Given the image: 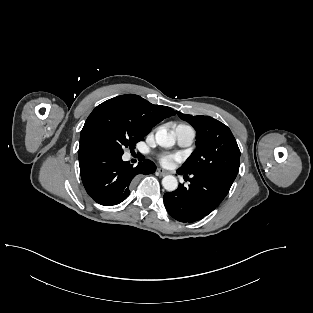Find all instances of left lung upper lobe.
Returning a JSON list of instances; mask_svg holds the SVG:
<instances>
[{
  "mask_svg": "<svg viewBox=\"0 0 313 313\" xmlns=\"http://www.w3.org/2000/svg\"><path fill=\"white\" fill-rule=\"evenodd\" d=\"M177 114L195 128L197 147L180 169L189 175H217L234 181L240 150L230 129L209 116Z\"/></svg>",
  "mask_w": 313,
  "mask_h": 313,
  "instance_id": "1",
  "label": "left lung upper lobe"
}]
</instances>
